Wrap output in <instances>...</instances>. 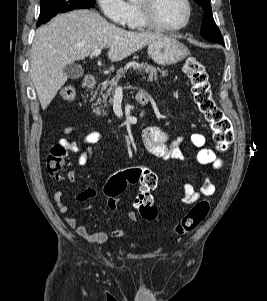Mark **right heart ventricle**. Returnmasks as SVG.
Instances as JSON below:
<instances>
[{"label": "right heart ventricle", "instance_id": "1", "mask_svg": "<svg viewBox=\"0 0 267 301\" xmlns=\"http://www.w3.org/2000/svg\"><path fill=\"white\" fill-rule=\"evenodd\" d=\"M131 16L128 22V27L135 30L148 29L149 27L141 20L135 4H131Z\"/></svg>", "mask_w": 267, "mask_h": 301}]
</instances>
